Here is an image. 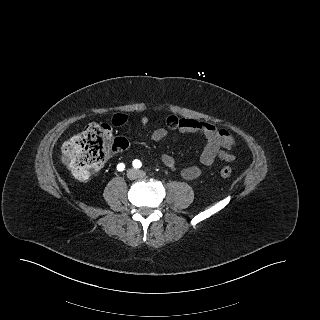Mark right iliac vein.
<instances>
[{
    "label": "right iliac vein",
    "instance_id": "right-iliac-vein-1",
    "mask_svg": "<svg viewBox=\"0 0 320 320\" xmlns=\"http://www.w3.org/2000/svg\"><path fill=\"white\" fill-rule=\"evenodd\" d=\"M127 177L130 179V180H133L137 177V173L136 171L134 170H129L127 171Z\"/></svg>",
    "mask_w": 320,
    "mask_h": 320
}]
</instances>
